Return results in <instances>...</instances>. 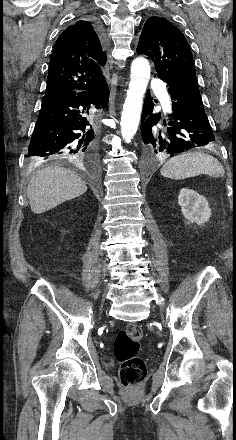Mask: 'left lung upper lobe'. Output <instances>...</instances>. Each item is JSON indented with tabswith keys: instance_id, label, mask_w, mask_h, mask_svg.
Here are the masks:
<instances>
[{
	"instance_id": "obj_1",
	"label": "left lung upper lobe",
	"mask_w": 236,
	"mask_h": 440,
	"mask_svg": "<svg viewBox=\"0 0 236 440\" xmlns=\"http://www.w3.org/2000/svg\"><path fill=\"white\" fill-rule=\"evenodd\" d=\"M137 53L154 62L158 76L170 84L181 78L196 79L192 52L183 33L162 17H150L142 30Z\"/></svg>"
}]
</instances>
